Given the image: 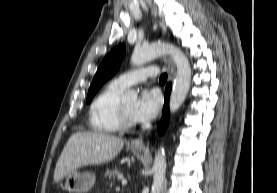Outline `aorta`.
<instances>
[{
  "instance_id": "1",
  "label": "aorta",
  "mask_w": 277,
  "mask_h": 193,
  "mask_svg": "<svg viewBox=\"0 0 277 193\" xmlns=\"http://www.w3.org/2000/svg\"><path fill=\"white\" fill-rule=\"evenodd\" d=\"M165 54H170L176 65L177 72L174 79L173 89L170 95V112L175 113L184 102L191 84V67L186 55L174 45L166 43H153L145 47H135L131 63L140 66L148 61ZM137 93L126 91L122 96V101H135ZM166 174V157L164 148L161 147L155 154L153 164V184L151 193H160Z\"/></svg>"
}]
</instances>
